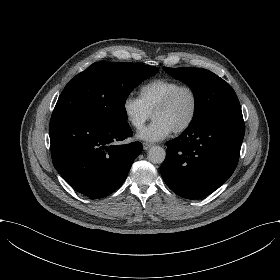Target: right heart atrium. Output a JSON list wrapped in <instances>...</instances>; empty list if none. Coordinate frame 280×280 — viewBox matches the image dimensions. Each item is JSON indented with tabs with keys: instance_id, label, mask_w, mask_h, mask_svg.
I'll return each mask as SVG.
<instances>
[{
	"instance_id": "1",
	"label": "right heart atrium",
	"mask_w": 280,
	"mask_h": 280,
	"mask_svg": "<svg viewBox=\"0 0 280 280\" xmlns=\"http://www.w3.org/2000/svg\"><path fill=\"white\" fill-rule=\"evenodd\" d=\"M122 113L125 120L134 128L141 129L150 118V112L139 98L127 96L122 102Z\"/></svg>"
}]
</instances>
